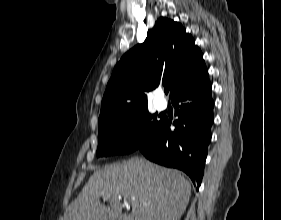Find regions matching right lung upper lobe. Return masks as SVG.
<instances>
[{
  "label": "right lung upper lobe",
  "mask_w": 281,
  "mask_h": 220,
  "mask_svg": "<svg viewBox=\"0 0 281 220\" xmlns=\"http://www.w3.org/2000/svg\"><path fill=\"white\" fill-rule=\"evenodd\" d=\"M201 50L181 24L161 17L144 43L126 52L107 84L98 124L147 108V92L169 84L171 98L208 80Z\"/></svg>",
  "instance_id": "1"
}]
</instances>
